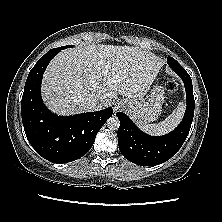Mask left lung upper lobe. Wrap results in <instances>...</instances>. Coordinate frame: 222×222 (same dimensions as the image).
Here are the masks:
<instances>
[{"instance_id": "5c2ea615", "label": "left lung upper lobe", "mask_w": 222, "mask_h": 222, "mask_svg": "<svg viewBox=\"0 0 222 222\" xmlns=\"http://www.w3.org/2000/svg\"><path fill=\"white\" fill-rule=\"evenodd\" d=\"M173 61H176V60H175L174 58H171V57H168V58H167V62H168V63L173 62Z\"/></svg>"}]
</instances>
